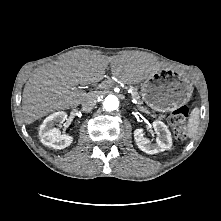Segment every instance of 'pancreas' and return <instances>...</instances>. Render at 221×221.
Returning a JSON list of instances; mask_svg holds the SVG:
<instances>
[{"label": "pancreas", "instance_id": "pancreas-1", "mask_svg": "<svg viewBox=\"0 0 221 221\" xmlns=\"http://www.w3.org/2000/svg\"><path fill=\"white\" fill-rule=\"evenodd\" d=\"M131 90H132V97H133L134 99L138 100L139 103H141V102H140V95H139L137 89L134 88V87H131ZM142 108H143V107H142ZM143 109H145V108H143ZM145 110H146V109H145ZM152 116H154V114H152Z\"/></svg>", "mask_w": 221, "mask_h": 221}]
</instances>
